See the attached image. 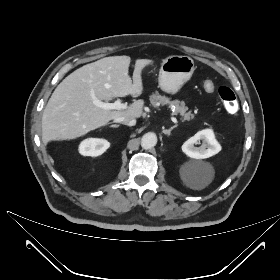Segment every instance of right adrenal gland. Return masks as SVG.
I'll list each match as a JSON object with an SVG mask.
<instances>
[{
  "instance_id": "2a0ac1e0",
  "label": "right adrenal gland",
  "mask_w": 280,
  "mask_h": 280,
  "mask_svg": "<svg viewBox=\"0 0 280 280\" xmlns=\"http://www.w3.org/2000/svg\"><path fill=\"white\" fill-rule=\"evenodd\" d=\"M108 124H111V123H108ZM110 127H112V128H118L119 125H117V124H112V125H110Z\"/></svg>"
}]
</instances>
